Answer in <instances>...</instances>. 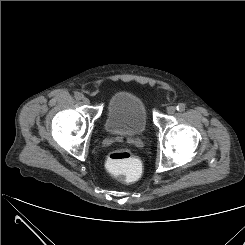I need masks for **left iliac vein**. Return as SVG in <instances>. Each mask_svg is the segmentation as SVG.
Returning a JSON list of instances; mask_svg holds the SVG:
<instances>
[{
	"label": "left iliac vein",
	"mask_w": 245,
	"mask_h": 245,
	"mask_svg": "<svg viewBox=\"0 0 245 245\" xmlns=\"http://www.w3.org/2000/svg\"><path fill=\"white\" fill-rule=\"evenodd\" d=\"M175 112H176V108H175L174 106H169V107L167 108V113H168L169 115H173Z\"/></svg>",
	"instance_id": "4c4485c4"
}]
</instances>
